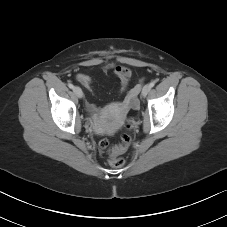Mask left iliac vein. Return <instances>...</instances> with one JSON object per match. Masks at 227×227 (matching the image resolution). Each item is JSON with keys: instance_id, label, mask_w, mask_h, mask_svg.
Returning <instances> with one entry per match:
<instances>
[{"instance_id": "left-iliac-vein-1", "label": "left iliac vein", "mask_w": 227, "mask_h": 227, "mask_svg": "<svg viewBox=\"0 0 227 227\" xmlns=\"http://www.w3.org/2000/svg\"><path fill=\"white\" fill-rule=\"evenodd\" d=\"M150 90H151L150 85H145L141 92L142 96L145 97L150 92Z\"/></svg>"}]
</instances>
